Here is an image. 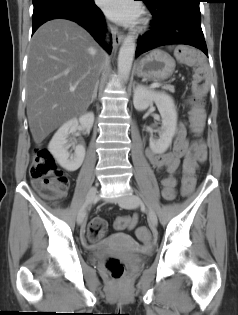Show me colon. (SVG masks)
Wrapping results in <instances>:
<instances>
[{
  "label": "colon",
  "mask_w": 238,
  "mask_h": 315,
  "mask_svg": "<svg viewBox=\"0 0 238 315\" xmlns=\"http://www.w3.org/2000/svg\"><path fill=\"white\" fill-rule=\"evenodd\" d=\"M174 52L180 61L186 62L195 68L190 122L192 132L195 135H199L203 130L205 120L203 95L207 89V70L202 57L198 52L187 47H177ZM29 173L35 188L47 198H60L65 194L69 187L67 176L58 169L50 151L45 147H38L35 149ZM193 187L194 181L184 180L182 182L183 194H189ZM114 225L115 228L123 230L128 227L129 219L127 217H118L115 220ZM106 229V222L101 218H95L89 224L88 236L91 240L99 239L105 234ZM137 234L142 240L147 241L150 239V232L146 227L139 228ZM106 268L115 279L121 278L126 272L124 264L113 258L106 262Z\"/></svg>",
  "instance_id": "1"
}]
</instances>
